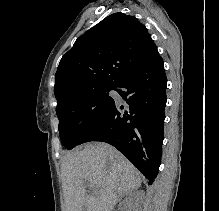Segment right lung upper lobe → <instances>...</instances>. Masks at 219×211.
<instances>
[{
    "label": "right lung upper lobe",
    "mask_w": 219,
    "mask_h": 211,
    "mask_svg": "<svg viewBox=\"0 0 219 211\" xmlns=\"http://www.w3.org/2000/svg\"><path fill=\"white\" fill-rule=\"evenodd\" d=\"M159 56L146 27L134 16L114 13L80 36L61 59L54 93L58 104L116 85Z\"/></svg>",
    "instance_id": "cb5924a9"
}]
</instances>
